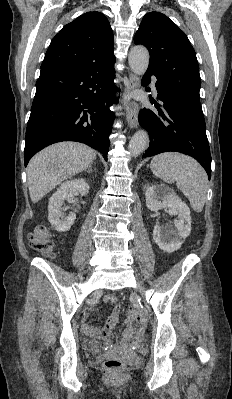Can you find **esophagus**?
I'll use <instances>...</instances> for the list:
<instances>
[{
    "label": "esophagus",
    "instance_id": "1",
    "mask_svg": "<svg viewBox=\"0 0 232 399\" xmlns=\"http://www.w3.org/2000/svg\"><path fill=\"white\" fill-rule=\"evenodd\" d=\"M139 85H140V82H139L138 77H136V75L130 73L129 81H128V84L126 87L127 92L139 87ZM138 111H139V106L136 102H133V101L127 102L126 120H127L128 125L131 128H135L138 126Z\"/></svg>",
    "mask_w": 232,
    "mask_h": 399
}]
</instances>
